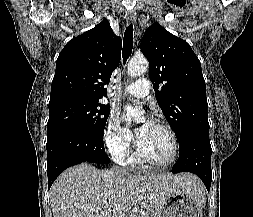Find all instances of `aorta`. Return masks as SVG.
Here are the masks:
<instances>
[{
  "label": "aorta",
  "instance_id": "obj_1",
  "mask_svg": "<svg viewBox=\"0 0 253 217\" xmlns=\"http://www.w3.org/2000/svg\"><path fill=\"white\" fill-rule=\"evenodd\" d=\"M149 67L148 61L145 58H133L127 65V73L131 77L140 76L147 72ZM127 119L134 122H141L144 111L140 108H134L130 104L124 106Z\"/></svg>",
  "mask_w": 253,
  "mask_h": 217
}]
</instances>
